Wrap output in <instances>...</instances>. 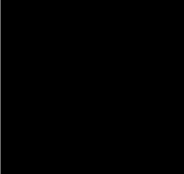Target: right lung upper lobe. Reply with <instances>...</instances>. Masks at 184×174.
Returning a JSON list of instances; mask_svg holds the SVG:
<instances>
[{"instance_id": "obj_1", "label": "right lung upper lobe", "mask_w": 184, "mask_h": 174, "mask_svg": "<svg viewBox=\"0 0 184 174\" xmlns=\"http://www.w3.org/2000/svg\"><path fill=\"white\" fill-rule=\"evenodd\" d=\"M65 71V64L60 60H51L38 71L27 109L34 125H52L71 117V90L65 80Z\"/></svg>"}]
</instances>
